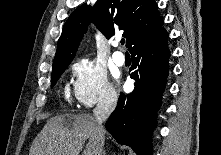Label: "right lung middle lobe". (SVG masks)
Masks as SVG:
<instances>
[{"label":"right lung middle lobe","instance_id":"obj_1","mask_svg":"<svg viewBox=\"0 0 221 155\" xmlns=\"http://www.w3.org/2000/svg\"><path fill=\"white\" fill-rule=\"evenodd\" d=\"M68 65L69 64L53 69L51 87H53L56 84L57 80L59 79L61 74L65 71V69L68 67Z\"/></svg>","mask_w":221,"mask_h":155}]
</instances>
